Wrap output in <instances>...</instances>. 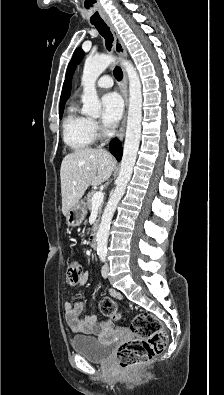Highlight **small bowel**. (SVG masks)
Returning <instances> with one entry per match:
<instances>
[{
    "mask_svg": "<svg viewBox=\"0 0 224 395\" xmlns=\"http://www.w3.org/2000/svg\"><path fill=\"white\" fill-rule=\"evenodd\" d=\"M89 280V275L83 273L78 280L80 285H85ZM111 294L116 298H121V295L113 290ZM84 304L82 301L75 303L66 302L64 304V317L69 330L74 334L83 335H100L104 331L113 329V322L110 319L99 321L98 317L88 316L83 313Z\"/></svg>",
    "mask_w": 224,
    "mask_h": 395,
    "instance_id": "obj_1",
    "label": "small bowel"
}]
</instances>
